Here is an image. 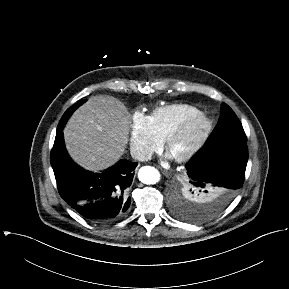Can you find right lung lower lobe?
Listing matches in <instances>:
<instances>
[{"label":"right lung lower lobe","instance_id":"right-lung-lower-lobe-1","mask_svg":"<svg viewBox=\"0 0 289 289\" xmlns=\"http://www.w3.org/2000/svg\"><path fill=\"white\" fill-rule=\"evenodd\" d=\"M50 161L60 196L88 221L109 223L127 214L137 162L123 159L101 173L84 170L67 154L63 128L56 132Z\"/></svg>","mask_w":289,"mask_h":289}]
</instances>
